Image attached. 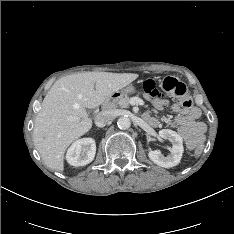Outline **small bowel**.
<instances>
[{
	"label": "small bowel",
	"instance_id": "obj_1",
	"mask_svg": "<svg viewBox=\"0 0 234 234\" xmlns=\"http://www.w3.org/2000/svg\"><path fill=\"white\" fill-rule=\"evenodd\" d=\"M154 107L160 111L170 106L168 100L161 96L151 97L146 95ZM172 111L175 113L173 124L178 128L179 134L186 140L189 148H192L197 143L202 142L206 125L199 120L201 112L198 108H183L178 104L171 105ZM145 120L153 127H157L160 121L157 117L150 114L144 115Z\"/></svg>",
	"mask_w": 234,
	"mask_h": 234
}]
</instances>
